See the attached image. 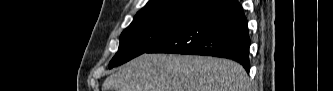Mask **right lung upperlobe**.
Masks as SVG:
<instances>
[{"label": "right lung upper lobe", "instance_id": "obj_1", "mask_svg": "<svg viewBox=\"0 0 333 91\" xmlns=\"http://www.w3.org/2000/svg\"><path fill=\"white\" fill-rule=\"evenodd\" d=\"M204 1L206 0H150L135 18L167 16L192 19L204 10L201 8Z\"/></svg>", "mask_w": 333, "mask_h": 91}]
</instances>
